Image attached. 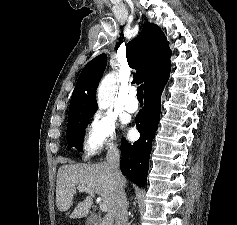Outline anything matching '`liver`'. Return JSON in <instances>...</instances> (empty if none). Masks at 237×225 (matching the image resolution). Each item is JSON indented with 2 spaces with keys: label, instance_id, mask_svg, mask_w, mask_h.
<instances>
[{
  "label": "liver",
  "instance_id": "1",
  "mask_svg": "<svg viewBox=\"0 0 237 225\" xmlns=\"http://www.w3.org/2000/svg\"><path fill=\"white\" fill-rule=\"evenodd\" d=\"M78 186H88L106 204L107 214L100 222V225H114L116 205L115 179L107 163L66 164L58 169L56 204L60 211H67L72 206L76 187ZM92 202L91 197L84 198L83 201L77 204L70 214V218L86 217L89 214Z\"/></svg>",
  "mask_w": 237,
  "mask_h": 225
}]
</instances>
